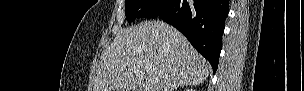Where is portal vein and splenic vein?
<instances>
[{
	"label": "portal vein and splenic vein",
	"instance_id": "18ae733b",
	"mask_svg": "<svg viewBox=\"0 0 304 91\" xmlns=\"http://www.w3.org/2000/svg\"><path fill=\"white\" fill-rule=\"evenodd\" d=\"M145 69H146V73L147 74H152L153 73V68L152 67H149V66H145Z\"/></svg>",
	"mask_w": 304,
	"mask_h": 91
}]
</instances>
